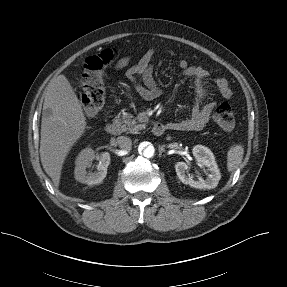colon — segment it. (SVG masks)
<instances>
[{"label": "colon", "instance_id": "obj_1", "mask_svg": "<svg viewBox=\"0 0 287 287\" xmlns=\"http://www.w3.org/2000/svg\"><path fill=\"white\" fill-rule=\"evenodd\" d=\"M117 56L115 49H106L97 55L87 58L85 72L82 76V92L78 99L88 115L96 114L104 105L105 89L103 73ZM214 121L224 130L230 131L235 126V116L231 106L222 102L213 108Z\"/></svg>", "mask_w": 287, "mask_h": 287}]
</instances>
